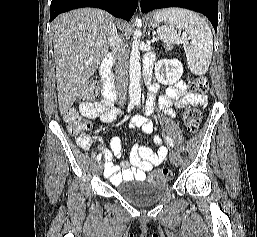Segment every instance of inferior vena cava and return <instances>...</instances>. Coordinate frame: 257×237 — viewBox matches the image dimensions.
Returning a JSON list of instances; mask_svg holds the SVG:
<instances>
[{
	"label": "inferior vena cava",
	"mask_w": 257,
	"mask_h": 237,
	"mask_svg": "<svg viewBox=\"0 0 257 237\" xmlns=\"http://www.w3.org/2000/svg\"><path fill=\"white\" fill-rule=\"evenodd\" d=\"M110 48L113 51L115 57V81L116 90L120 100V103L126 101V93L128 86V49L117 33V29L113 26V30L110 37Z\"/></svg>",
	"instance_id": "1"
}]
</instances>
